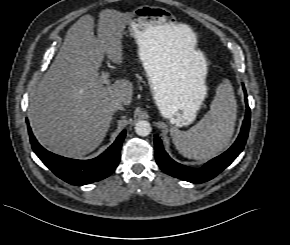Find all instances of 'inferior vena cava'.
<instances>
[{"instance_id": "inferior-vena-cava-1", "label": "inferior vena cava", "mask_w": 290, "mask_h": 245, "mask_svg": "<svg viewBox=\"0 0 290 245\" xmlns=\"http://www.w3.org/2000/svg\"><path fill=\"white\" fill-rule=\"evenodd\" d=\"M111 110L117 111V110H123V105L120 101H114L111 103Z\"/></svg>"}]
</instances>
